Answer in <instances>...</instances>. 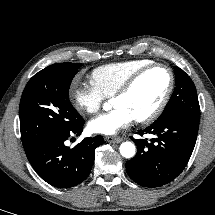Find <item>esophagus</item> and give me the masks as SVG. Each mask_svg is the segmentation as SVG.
Masks as SVG:
<instances>
[{
  "label": "esophagus",
  "instance_id": "obj_1",
  "mask_svg": "<svg viewBox=\"0 0 215 215\" xmlns=\"http://www.w3.org/2000/svg\"><path fill=\"white\" fill-rule=\"evenodd\" d=\"M105 141L109 143H120L122 139L120 137L106 136Z\"/></svg>",
  "mask_w": 215,
  "mask_h": 215
}]
</instances>
